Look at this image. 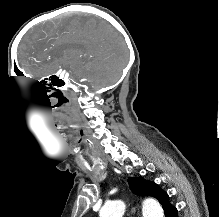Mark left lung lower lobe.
Instances as JSON below:
<instances>
[{"mask_svg":"<svg viewBox=\"0 0 219 217\" xmlns=\"http://www.w3.org/2000/svg\"><path fill=\"white\" fill-rule=\"evenodd\" d=\"M164 213H165V217H178L177 208L172 205L168 206L164 210Z\"/></svg>","mask_w":219,"mask_h":217,"instance_id":"1","label":"left lung lower lobe"}]
</instances>
